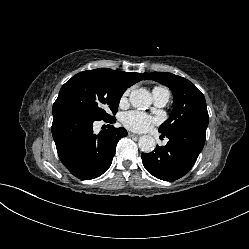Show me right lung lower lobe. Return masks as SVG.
<instances>
[{
	"instance_id": "obj_1",
	"label": "right lung lower lobe",
	"mask_w": 249,
	"mask_h": 249,
	"mask_svg": "<svg viewBox=\"0 0 249 249\" xmlns=\"http://www.w3.org/2000/svg\"><path fill=\"white\" fill-rule=\"evenodd\" d=\"M94 121L99 120L69 105H53L52 135L59 158L74 176L83 180L102 175L112 163L118 141L127 136L126 129L113 126L96 135ZM104 121L114 123L116 119Z\"/></svg>"
}]
</instances>
